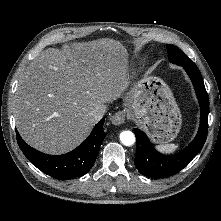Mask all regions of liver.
<instances>
[{
	"label": "liver",
	"instance_id": "obj_1",
	"mask_svg": "<svg viewBox=\"0 0 221 221\" xmlns=\"http://www.w3.org/2000/svg\"><path fill=\"white\" fill-rule=\"evenodd\" d=\"M127 58L126 48L109 38L40 53L21 75L15 93L21 137L48 154L76 148L97 122L90 113L123 92ZM134 98L133 90L126 102Z\"/></svg>",
	"mask_w": 221,
	"mask_h": 221
}]
</instances>
